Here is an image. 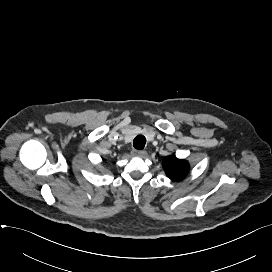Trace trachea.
Wrapping results in <instances>:
<instances>
[{
    "label": "trachea",
    "mask_w": 272,
    "mask_h": 272,
    "mask_svg": "<svg viewBox=\"0 0 272 272\" xmlns=\"http://www.w3.org/2000/svg\"><path fill=\"white\" fill-rule=\"evenodd\" d=\"M146 144V138L143 135H138L133 140V146L135 149L142 150Z\"/></svg>",
    "instance_id": "3493384b"
}]
</instances>
